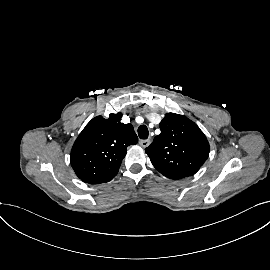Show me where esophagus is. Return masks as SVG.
I'll return each instance as SVG.
<instances>
[{"label":"esophagus","instance_id":"obj_1","mask_svg":"<svg viewBox=\"0 0 270 270\" xmlns=\"http://www.w3.org/2000/svg\"><path fill=\"white\" fill-rule=\"evenodd\" d=\"M139 144H140L141 147L146 148V147L149 146L150 140H149V139H146V140H140V141H139Z\"/></svg>","mask_w":270,"mask_h":270}]
</instances>
